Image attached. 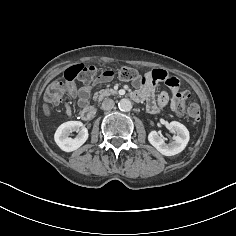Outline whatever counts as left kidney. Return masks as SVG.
I'll use <instances>...</instances> for the list:
<instances>
[{"mask_svg": "<svg viewBox=\"0 0 236 236\" xmlns=\"http://www.w3.org/2000/svg\"><path fill=\"white\" fill-rule=\"evenodd\" d=\"M176 136L174 141L167 144L165 139L161 138L156 131H151L148 135V140L161 154L165 156H173L182 152L189 142L190 136L188 129L177 121H172L168 125Z\"/></svg>", "mask_w": 236, "mask_h": 236, "instance_id": "1", "label": "left kidney"}]
</instances>
